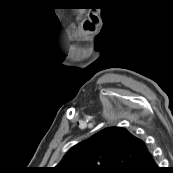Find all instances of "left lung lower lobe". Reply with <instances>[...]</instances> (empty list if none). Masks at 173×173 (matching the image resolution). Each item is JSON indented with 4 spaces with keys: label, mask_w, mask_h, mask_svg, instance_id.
Here are the masks:
<instances>
[{
    "label": "left lung lower lobe",
    "mask_w": 173,
    "mask_h": 173,
    "mask_svg": "<svg viewBox=\"0 0 173 173\" xmlns=\"http://www.w3.org/2000/svg\"><path fill=\"white\" fill-rule=\"evenodd\" d=\"M138 173H161V168H159L151 156L147 163L138 171Z\"/></svg>",
    "instance_id": "left-lung-lower-lobe-1"
}]
</instances>
